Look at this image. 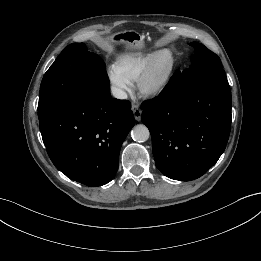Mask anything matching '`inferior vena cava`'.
<instances>
[{
	"label": "inferior vena cava",
	"instance_id": "obj_1",
	"mask_svg": "<svg viewBox=\"0 0 261 261\" xmlns=\"http://www.w3.org/2000/svg\"><path fill=\"white\" fill-rule=\"evenodd\" d=\"M111 92H112L113 96L117 99H126L127 98V93L118 87H112Z\"/></svg>",
	"mask_w": 261,
	"mask_h": 261
}]
</instances>
